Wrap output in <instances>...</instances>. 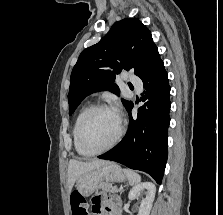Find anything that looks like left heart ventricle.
<instances>
[{"mask_svg":"<svg viewBox=\"0 0 223 215\" xmlns=\"http://www.w3.org/2000/svg\"><path fill=\"white\" fill-rule=\"evenodd\" d=\"M119 130V119L116 112L99 110L89 120L84 132V143L87 149L100 150L108 146Z\"/></svg>","mask_w":223,"mask_h":215,"instance_id":"b2bd125f","label":"left heart ventricle"}]
</instances>
